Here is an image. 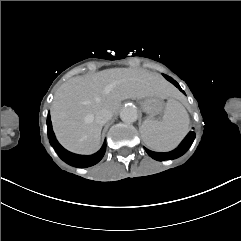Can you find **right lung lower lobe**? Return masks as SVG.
Returning a JSON list of instances; mask_svg holds the SVG:
<instances>
[{"instance_id":"right-lung-lower-lobe-1","label":"right lung lower lobe","mask_w":241,"mask_h":241,"mask_svg":"<svg viewBox=\"0 0 241 241\" xmlns=\"http://www.w3.org/2000/svg\"><path fill=\"white\" fill-rule=\"evenodd\" d=\"M47 127H48V137L51 145L54 147L58 155L71 166L85 168L90 167L98 163L104 156L106 150V143L104 142L101 149L93 155H78L71 153L64 149L56 140L54 132L52 130V123L50 120V115L48 114L47 118Z\"/></svg>"}]
</instances>
